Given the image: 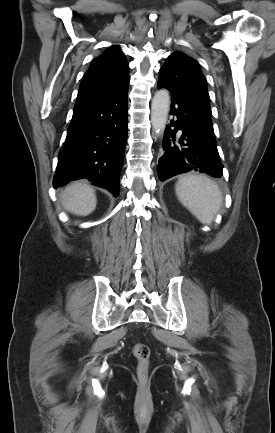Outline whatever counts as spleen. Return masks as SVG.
I'll use <instances>...</instances> for the list:
<instances>
[{"mask_svg":"<svg viewBox=\"0 0 275 433\" xmlns=\"http://www.w3.org/2000/svg\"><path fill=\"white\" fill-rule=\"evenodd\" d=\"M175 190L180 202L204 224L213 220L222 202L219 187L206 176L181 177Z\"/></svg>","mask_w":275,"mask_h":433,"instance_id":"3e777b00","label":"spleen"}]
</instances>
